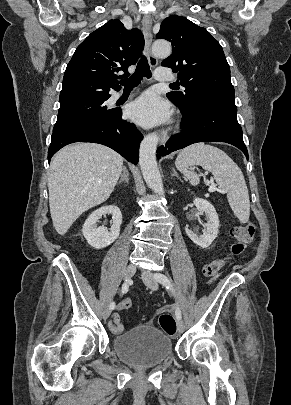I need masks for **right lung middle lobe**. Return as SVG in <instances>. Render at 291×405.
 Returning <instances> with one entry per match:
<instances>
[{
  "label": "right lung middle lobe",
  "instance_id": "dd1d6c3e",
  "mask_svg": "<svg viewBox=\"0 0 291 405\" xmlns=\"http://www.w3.org/2000/svg\"><path fill=\"white\" fill-rule=\"evenodd\" d=\"M107 99H75L60 102L58 118L53 131L74 123L111 114L114 109H107L105 105Z\"/></svg>",
  "mask_w": 291,
  "mask_h": 405
}]
</instances>
